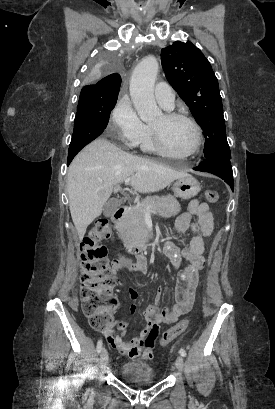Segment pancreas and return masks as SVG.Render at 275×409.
Segmentation results:
<instances>
[{
  "instance_id": "1",
  "label": "pancreas",
  "mask_w": 275,
  "mask_h": 409,
  "mask_svg": "<svg viewBox=\"0 0 275 409\" xmlns=\"http://www.w3.org/2000/svg\"><path fill=\"white\" fill-rule=\"evenodd\" d=\"M151 205L149 213H159L161 217H175L180 213V205L175 196H146L142 202H138L135 207H128L121 221L115 223V229L118 231L126 247H143L148 239L149 229L145 225L146 207Z\"/></svg>"
}]
</instances>
